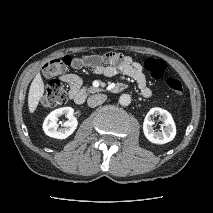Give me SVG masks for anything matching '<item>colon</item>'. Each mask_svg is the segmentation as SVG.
<instances>
[{
  "mask_svg": "<svg viewBox=\"0 0 213 213\" xmlns=\"http://www.w3.org/2000/svg\"><path fill=\"white\" fill-rule=\"evenodd\" d=\"M70 64L71 58L69 56H64L52 59L44 65L43 73L47 78H50V80L45 86V92L42 98L43 106L54 108L63 106L67 103V91L60 81L54 78L62 74ZM144 67L152 78L160 79L164 76L167 65L163 60L148 58L144 62ZM166 86L176 97H182L183 86L178 79L173 77L167 78Z\"/></svg>",
  "mask_w": 213,
  "mask_h": 213,
  "instance_id": "1",
  "label": "colon"
}]
</instances>
